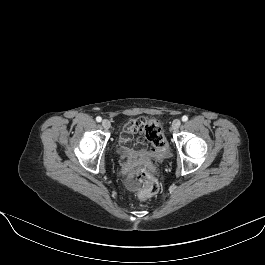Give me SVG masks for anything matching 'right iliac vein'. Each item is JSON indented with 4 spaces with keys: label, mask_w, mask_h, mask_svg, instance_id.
I'll return each mask as SVG.
<instances>
[{
    "label": "right iliac vein",
    "mask_w": 265,
    "mask_h": 265,
    "mask_svg": "<svg viewBox=\"0 0 265 265\" xmlns=\"http://www.w3.org/2000/svg\"><path fill=\"white\" fill-rule=\"evenodd\" d=\"M102 126L105 128V129H109L111 127V123L109 120L105 119L102 121Z\"/></svg>",
    "instance_id": "obj_1"
}]
</instances>
